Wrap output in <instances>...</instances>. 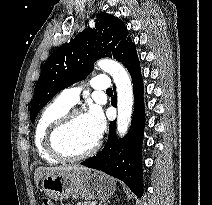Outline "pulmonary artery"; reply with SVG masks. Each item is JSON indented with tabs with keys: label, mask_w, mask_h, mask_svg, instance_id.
Returning a JSON list of instances; mask_svg holds the SVG:
<instances>
[{
	"label": "pulmonary artery",
	"mask_w": 212,
	"mask_h": 205,
	"mask_svg": "<svg viewBox=\"0 0 212 205\" xmlns=\"http://www.w3.org/2000/svg\"><path fill=\"white\" fill-rule=\"evenodd\" d=\"M90 86L95 90H107L110 88V80L107 75L101 74L94 76L90 81ZM82 86H75L64 89L58 96V100L63 104L72 107L79 100Z\"/></svg>",
	"instance_id": "pulmonary-artery-1"
}]
</instances>
